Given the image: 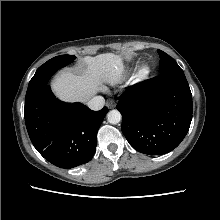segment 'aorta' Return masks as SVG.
I'll return each mask as SVG.
<instances>
[{
    "label": "aorta",
    "instance_id": "aorta-1",
    "mask_svg": "<svg viewBox=\"0 0 220 220\" xmlns=\"http://www.w3.org/2000/svg\"><path fill=\"white\" fill-rule=\"evenodd\" d=\"M121 114L118 110H111L107 114V120L111 124H117L121 121Z\"/></svg>",
    "mask_w": 220,
    "mask_h": 220
}]
</instances>
